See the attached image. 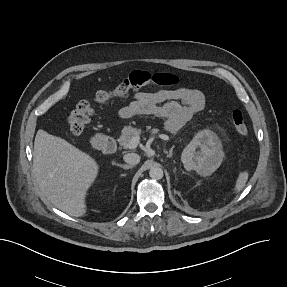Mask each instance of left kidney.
<instances>
[{
    "label": "left kidney",
    "mask_w": 287,
    "mask_h": 287,
    "mask_svg": "<svg viewBox=\"0 0 287 287\" xmlns=\"http://www.w3.org/2000/svg\"><path fill=\"white\" fill-rule=\"evenodd\" d=\"M197 147L200 150L196 151ZM224 153L218 136L210 131H201L182 152L181 160L186 170H195L201 176H209L221 165Z\"/></svg>",
    "instance_id": "5707ae66"
}]
</instances>
